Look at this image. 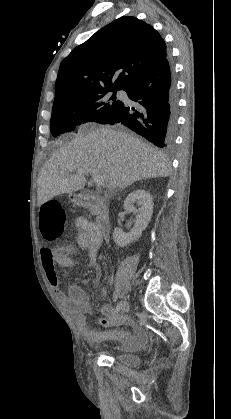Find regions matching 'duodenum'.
Returning a JSON list of instances; mask_svg holds the SVG:
<instances>
[{"mask_svg": "<svg viewBox=\"0 0 231 419\" xmlns=\"http://www.w3.org/2000/svg\"><path fill=\"white\" fill-rule=\"evenodd\" d=\"M76 200L80 207H89L95 211L96 226L99 234L102 240L108 238L111 230V220L105 202L92 193L80 194Z\"/></svg>", "mask_w": 231, "mask_h": 419, "instance_id": "1", "label": "duodenum"}]
</instances>
